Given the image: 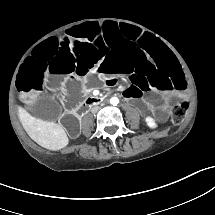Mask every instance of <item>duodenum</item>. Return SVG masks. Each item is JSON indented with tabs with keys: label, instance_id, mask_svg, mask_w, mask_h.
<instances>
[{
	"label": "duodenum",
	"instance_id": "410a0bca",
	"mask_svg": "<svg viewBox=\"0 0 215 215\" xmlns=\"http://www.w3.org/2000/svg\"><path fill=\"white\" fill-rule=\"evenodd\" d=\"M105 97L104 96H91V97H88L86 99V101L84 102V106L85 107H89V106H93V105H100L103 103Z\"/></svg>",
	"mask_w": 215,
	"mask_h": 215
}]
</instances>
